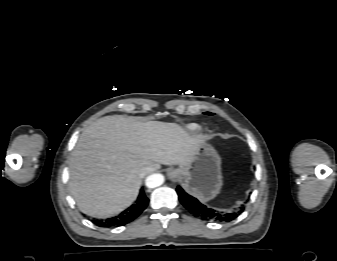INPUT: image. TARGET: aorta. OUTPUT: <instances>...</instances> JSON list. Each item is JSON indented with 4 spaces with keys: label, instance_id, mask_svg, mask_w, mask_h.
I'll list each match as a JSON object with an SVG mask.
<instances>
[{
    "label": "aorta",
    "instance_id": "1",
    "mask_svg": "<svg viewBox=\"0 0 337 261\" xmlns=\"http://www.w3.org/2000/svg\"><path fill=\"white\" fill-rule=\"evenodd\" d=\"M164 183V176L159 173H154L146 178L145 184L148 188L153 189Z\"/></svg>",
    "mask_w": 337,
    "mask_h": 261
}]
</instances>
